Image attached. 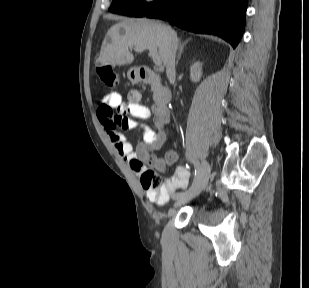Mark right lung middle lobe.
I'll list each match as a JSON object with an SVG mask.
<instances>
[{"label":"right lung middle lobe","mask_w":309,"mask_h":288,"mask_svg":"<svg viewBox=\"0 0 309 288\" xmlns=\"http://www.w3.org/2000/svg\"><path fill=\"white\" fill-rule=\"evenodd\" d=\"M165 0L146 3L144 0H113L109 11L116 14L143 17L151 10L160 6Z\"/></svg>","instance_id":"obj_1"}]
</instances>
